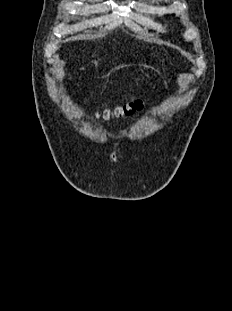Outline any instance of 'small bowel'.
<instances>
[{
  "label": "small bowel",
  "mask_w": 232,
  "mask_h": 311,
  "mask_svg": "<svg viewBox=\"0 0 232 311\" xmlns=\"http://www.w3.org/2000/svg\"><path fill=\"white\" fill-rule=\"evenodd\" d=\"M148 119V115H145L142 117V120H147Z\"/></svg>",
  "instance_id": "obj_1"
}]
</instances>
